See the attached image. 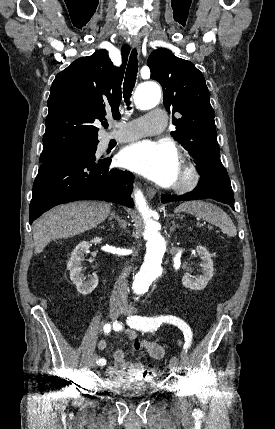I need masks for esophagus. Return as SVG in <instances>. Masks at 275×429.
Instances as JSON below:
<instances>
[{
  "instance_id": "1",
  "label": "esophagus",
  "mask_w": 275,
  "mask_h": 429,
  "mask_svg": "<svg viewBox=\"0 0 275 429\" xmlns=\"http://www.w3.org/2000/svg\"><path fill=\"white\" fill-rule=\"evenodd\" d=\"M131 43H132V46L134 48H136L138 51L140 50V43H141L140 37H138V36L132 37ZM155 194H156V190L154 188H152V187L147 188V195L150 198H153L155 196Z\"/></svg>"
}]
</instances>
